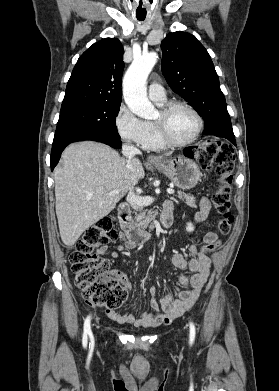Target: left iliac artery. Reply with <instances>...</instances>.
Masks as SVG:
<instances>
[{
	"label": "left iliac artery",
	"instance_id": "1",
	"mask_svg": "<svg viewBox=\"0 0 279 391\" xmlns=\"http://www.w3.org/2000/svg\"><path fill=\"white\" fill-rule=\"evenodd\" d=\"M189 331H190V335H189V343L190 345H192L194 343V340H195V334H196V331H195V326L192 322H190V327H189Z\"/></svg>",
	"mask_w": 279,
	"mask_h": 391
}]
</instances>
